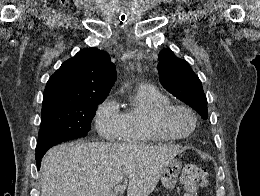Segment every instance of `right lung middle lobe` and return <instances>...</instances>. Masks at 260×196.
Segmentation results:
<instances>
[{"mask_svg":"<svg viewBox=\"0 0 260 196\" xmlns=\"http://www.w3.org/2000/svg\"><path fill=\"white\" fill-rule=\"evenodd\" d=\"M103 100L104 98H87L42 106L36 150L85 137L90 130L96 107Z\"/></svg>","mask_w":260,"mask_h":196,"instance_id":"right-lung-middle-lobe-1","label":"right lung middle lobe"}]
</instances>
